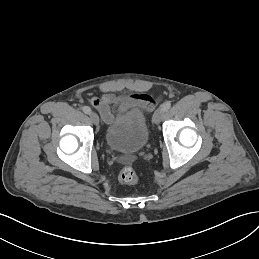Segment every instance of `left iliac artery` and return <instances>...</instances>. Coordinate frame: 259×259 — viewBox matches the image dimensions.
Returning a JSON list of instances; mask_svg holds the SVG:
<instances>
[{"instance_id": "1", "label": "left iliac artery", "mask_w": 259, "mask_h": 259, "mask_svg": "<svg viewBox=\"0 0 259 259\" xmlns=\"http://www.w3.org/2000/svg\"><path fill=\"white\" fill-rule=\"evenodd\" d=\"M170 107H171V102H170V101H167L166 103H164V104L162 105V110H163L164 112H166V111H168V110L170 109Z\"/></svg>"}]
</instances>
